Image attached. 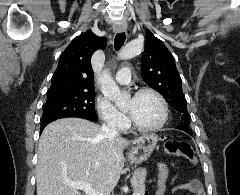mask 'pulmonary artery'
<instances>
[{"instance_id":"pulmonary-artery-1","label":"pulmonary artery","mask_w":240,"mask_h":195,"mask_svg":"<svg viewBox=\"0 0 240 195\" xmlns=\"http://www.w3.org/2000/svg\"><path fill=\"white\" fill-rule=\"evenodd\" d=\"M125 69V68H124ZM129 75H130V72L129 71H118V73H117V81L119 82V83H123V84H125V83H128L129 82V80H130V77H129Z\"/></svg>"}]
</instances>
